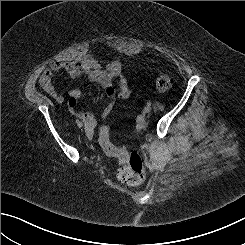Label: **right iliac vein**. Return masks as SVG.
I'll return each mask as SVG.
<instances>
[{
    "label": "right iliac vein",
    "mask_w": 245,
    "mask_h": 245,
    "mask_svg": "<svg viewBox=\"0 0 245 245\" xmlns=\"http://www.w3.org/2000/svg\"><path fill=\"white\" fill-rule=\"evenodd\" d=\"M79 127H80V128L83 127V124L81 123V124L79 125Z\"/></svg>",
    "instance_id": "1"
}]
</instances>
